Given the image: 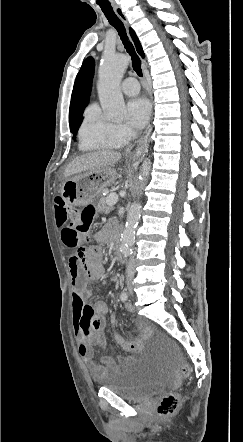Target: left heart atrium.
<instances>
[{
    "label": "left heart atrium",
    "mask_w": 243,
    "mask_h": 442,
    "mask_svg": "<svg viewBox=\"0 0 243 442\" xmlns=\"http://www.w3.org/2000/svg\"><path fill=\"white\" fill-rule=\"evenodd\" d=\"M150 104L142 97L130 100L127 104L128 123L135 129L142 128L148 121L150 115Z\"/></svg>",
    "instance_id": "obj_1"
}]
</instances>
